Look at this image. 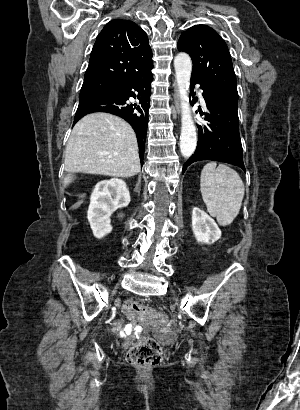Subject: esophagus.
Segmentation results:
<instances>
[{
  "instance_id": "obj_1",
  "label": "esophagus",
  "mask_w": 300,
  "mask_h": 410,
  "mask_svg": "<svg viewBox=\"0 0 300 410\" xmlns=\"http://www.w3.org/2000/svg\"><path fill=\"white\" fill-rule=\"evenodd\" d=\"M174 86V112L179 114L180 113V104H179V97H178V90L176 83L173 84Z\"/></svg>"
}]
</instances>
